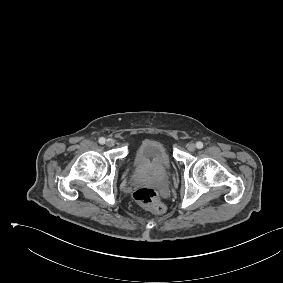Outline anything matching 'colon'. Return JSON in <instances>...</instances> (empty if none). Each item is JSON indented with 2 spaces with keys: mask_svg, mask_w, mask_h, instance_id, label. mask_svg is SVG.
<instances>
[{
  "mask_svg": "<svg viewBox=\"0 0 283 283\" xmlns=\"http://www.w3.org/2000/svg\"><path fill=\"white\" fill-rule=\"evenodd\" d=\"M133 198L140 206L154 214H162L165 211L158 192L153 188H139L133 193Z\"/></svg>",
  "mask_w": 283,
  "mask_h": 283,
  "instance_id": "obj_1",
  "label": "colon"
}]
</instances>
